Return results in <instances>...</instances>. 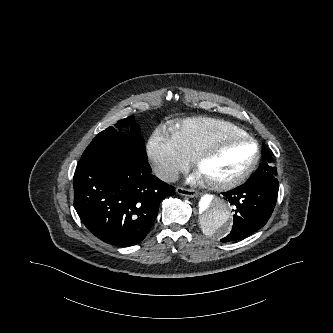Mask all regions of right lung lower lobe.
I'll list each match as a JSON object with an SVG mask.
<instances>
[{
    "instance_id": "98d812e1",
    "label": "right lung lower lobe",
    "mask_w": 333,
    "mask_h": 333,
    "mask_svg": "<svg viewBox=\"0 0 333 333\" xmlns=\"http://www.w3.org/2000/svg\"><path fill=\"white\" fill-rule=\"evenodd\" d=\"M74 207L86 228L119 247L142 241L161 200L175 188L151 174L148 162L122 158L80 160L74 175Z\"/></svg>"
}]
</instances>
